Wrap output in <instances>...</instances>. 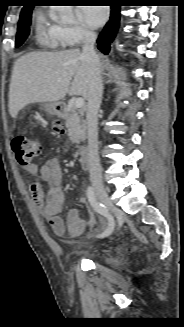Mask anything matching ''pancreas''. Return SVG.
Segmentation results:
<instances>
[{
    "instance_id": "1",
    "label": "pancreas",
    "mask_w": 184,
    "mask_h": 327,
    "mask_svg": "<svg viewBox=\"0 0 184 327\" xmlns=\"http://www.w3.org/2000/svg\"><path fill=\"white\" fill-rule=\"evenodd\" d=\"M66 127L68 136L73 143H79L85 138V124L81 120L79 112L75 108H70L66 117Z\"/></svg>"
}]
</instances>
